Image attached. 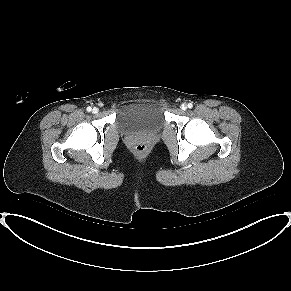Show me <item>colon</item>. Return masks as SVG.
Masks as SVG:
<instances>
[{"label": "colon", "instance_id": "obj_1", "mask_svg": "<svg viewBox=\"0 0 291 291\" xmlns=\"http://www.w3.org/2000/svg\"><path fill=\"white\" fill-rule=\"evenodd\" d=\"M133 151H134L135 155H137L139 157H143L147 154L148 148L144 143H137L133 147Z\"/></svg>", "mask_w": 291, "mask_h": 291}]
</instances>
